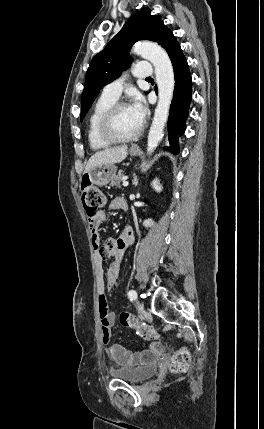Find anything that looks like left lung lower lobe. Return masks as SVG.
Returning <instances> with one entry per match:
<instances>
[{"instance_id": "obj_1", "label": "left lung lower lobe", "mask_w": 264, "mask_h": 429, "mask_svg": "<svg viewBox=\"0 0 264 429\" xmlns=\"http://www.w3.org/2000/svg\"><path fill=\"white\" fill-rule=\"evenodd\" d=\"M160 45L167 51L171 59L175 76V88L167 125L170 145L164 147V149L177 154L180 150L179 138L185 131V121L189 114V105L192 98V80L187 61L171 31L165 35Z\"/></svg>"}]
</instances>
